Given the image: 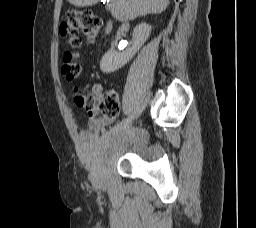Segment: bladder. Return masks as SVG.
I'll list each match as a JSON object with an SVG mask.
<instances>
[{
	"instance_id": "obj_1",
	"label": "bladder",
	"mask_w": 256,
	"mask_h": 228,
	"mask_svg": "<svg viewBox=\"0 0 256 228\" xmlns=\"http://www.w3.org/2000/svg\"><path fill=\"white\" fill-rule=\"evenodd\" d=\"M144 140L136 133L113 128L99 137H84L82 152L91 170L98 175L127 153L138 150Z\"/></svg>"
}]
</instances>
